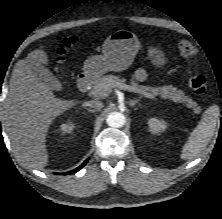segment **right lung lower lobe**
I'll return each instance as SVG.
<instances>
[{
  "label": "right lung lower lobe",
  "instance_id": "right-lung-lower-lobe-1",
  "mask_svg": "<svg viewBox=\"0 0 222 219\" xmlns=\"http://www.w3.org/2000/svg\"><path fill=\"white\" fill-rule=\"evenodd\" d=\"M88 160L84 161V163L82 165H80L79 167H77L76 169L72 170V171H69V172H65V173H59V174H62V175H68V174H72V173H75L77 171H79L86 163H87Z\"/></svg>",
  "mask_w": 222,
  "mask_h": 219
}]
</instances>
